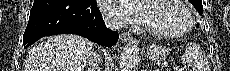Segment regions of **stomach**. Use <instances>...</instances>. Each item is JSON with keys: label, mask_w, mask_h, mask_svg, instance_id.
<instances>
[{"label": "stomach", "mask_w": 230, "mask_h": 71, "mask_svg": "<svg viewBox=\"0 0 230 71\" xmlns=\"http://www.w3.org/2000/svg\"><path fill=\"white\" fill-rule=\"evenodd\" d=\"M146 56L154 61H163L168 56V50L164 47L153 44L147 48Z\"/></svg>", "instance_id": "obj_1"}]
</instances>
